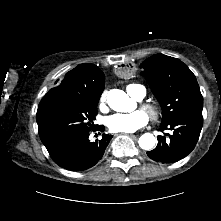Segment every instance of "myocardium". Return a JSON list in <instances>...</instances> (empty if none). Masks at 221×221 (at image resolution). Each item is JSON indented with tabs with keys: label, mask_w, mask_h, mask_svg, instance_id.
Segmentation results:
<instances>
[{
	"label": "myocardium",
	"mask_w": 221,
	"mask_h": 221,
	"mask_svg": "<svg viewBox=\"0 0 221 221\" xmlns=\"http://www.w3.org/2000/svg\"><path fill=\"white\" fill-rule=\"evenodd\" d=\"M142 109L148 114L152 121H157L160 116V108L157 104L144 102L141 104Z\"/></svg>",
	"instance_id": "myocardium-1"
}]
</instances>
